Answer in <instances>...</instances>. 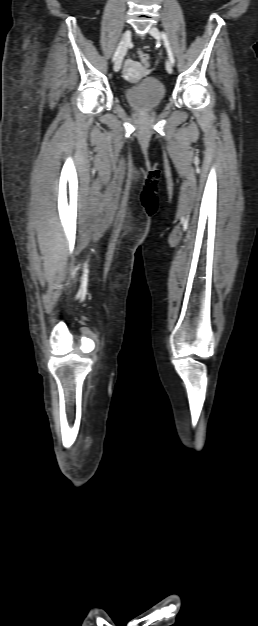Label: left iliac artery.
<instances>
[{
    "label": "left iliac artery",
    "mask_w": 258,
    "mask_h": 626,
    "mask_svg": "<svg viewBox=\"0 0 258 626\" xmlns=\"http://www.w3.org/2000/svg\"><path fill=\"white\" fill-rule=\"evenodd\" d=\"M162 38L164 40V44H165V47H166V50H167L170 62L172 64H174L175 63L174 55H173V52H172V49H171V46H170V43L168 41V37H167L166 33L162 32Z\"/></svg>",
    "instance_id": "1"
}]
</instances>
